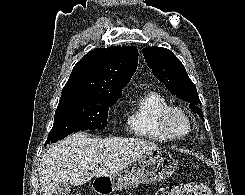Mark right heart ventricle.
<instances>
[{
	"mask_svg": "<svg viewBox=\"0 0 245 195\" xmlns=\"http://www.w3.org/2000/svg\"><path fill=\"white\" fill-rule=\"evenodd\" d=\"M170 106L167 98L153 90L137 95L126 109L127 133L142 139L168 141L158 126L160 112Z\"/></svg>",
	"mask_w": 245,
	"mask_h": 195,
	"instance_id": "right-heart-ventricle-1",
	"label": "right heart ventricle"
}]
</instances>
